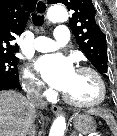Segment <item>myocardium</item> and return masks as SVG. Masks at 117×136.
Masks as SVG:
<instances>
[{"label": "myocardium", "instance_id": "1", "mask_svg": "<svg viewBox=\"0 0 117 136\" xmlns=\"http://www.w3.org/2000/svg\"><path fill=\"white\" fill-rule=\"evenodd\" d=\"M78 72H88L90 74L93 75V77L96 79L97 83H98V87H99V95L97 97V99L90 101V102H80V101H76L74 99H72L70 96H68L65 92L63 94V98L64 100L75 107L78 108H93V107H97L99 105H101L107 96V88H106V84L105 81L103 79V77L101 76V74L94 68L89 67V66H81L77 69Z\"/></svg>", "mask_w": 117, "mask_h": 136}]
</instances>
